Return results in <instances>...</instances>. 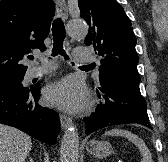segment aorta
Returning <instances> with one entry per match:
<instances>
[{
	"mask_svg": "<svg viewBox=\"0 0 168 162\" xmlns=\"http://www.w3.org/2000/svg\"><path fill=\"white\" fill-rule=\"evenodd\" d=\"M68 34L74 38H84L88 33L87 24L80 19L68 22ZM79 158V135L74 125H71L62 139L60 150L61 162H78Z\"/></svg>",
	"mask_w": 168,
	"mask_h": 162,
	"instance_id": "aorta-1",
	"label": "aorta"
}]
</instances>
